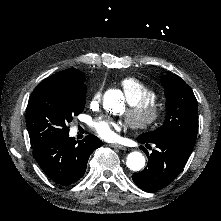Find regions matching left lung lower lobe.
<instances>
[{"mask_svg":"<svg viewBox=\"0 0 221 221\" xmlns=\"http://www.w3.org/2000/svg\"><path fill=\"white\" fill-rule=\"evenodd\" d=\"M137 141L150 148L156 145L151 154L140 146L147 157V167L139 173L132 175L134 183L146 192H156L170 184L184 168L192 149L170 137L147 139L139 136Z\"/></svg>","mask_w":221,"mask_h":221,"instance_id":"left-lung-lower-lobe-1","label":"left lung lower lobe"}]
</instances>
